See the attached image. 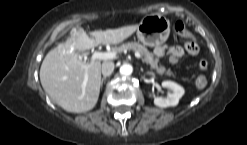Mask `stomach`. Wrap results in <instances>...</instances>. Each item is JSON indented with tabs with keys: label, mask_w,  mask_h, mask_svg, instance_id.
I'll use <instances>...</instances> for the list:
<instances>
[{
	"label": "stomach",
	"mask_w": 247,
	"mask_h": 145,
	"mask_svg": "<svg viewBox=\"0 0 247 145\" xmlns=\"http://www.w3.org/2000/svg\"><path fill=\"white\" fill-rule=\"evenodd\" d=\"M170 34V21L159 14L145 16L138 25V40L145 46L163 44Z\"/></svg>",
	"instance_id": "obj_1"
}]
</instances>
